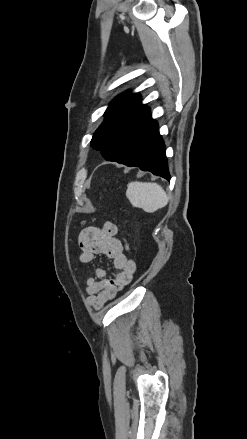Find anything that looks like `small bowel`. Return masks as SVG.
Masks as SVG:
<instances>
[{"instance_id": "small-bowel-1", "label": "small bowel", "mask_w": 247, "mask_h": 439, "mask_svg": "<svg viewBox=\"0 0 247 439\" xmlns=\"http://www.w3.org/2000/svg\"><path fill=\"white\" fill-rule=\"evenodd\" d=\"M116 233V225L107 222L101 227H87L79 234V260L82 263H91L95 256L104 255L113 261L116 270L111 279H107L105 271L100 268L87 278V301L96 309L113 299L132 280L136 270L135 262L124 254L121 241L115 237Z\"/></svg>"}]
</instances>
